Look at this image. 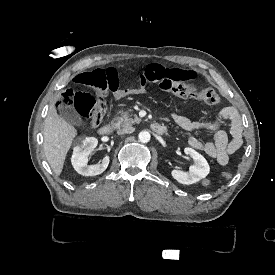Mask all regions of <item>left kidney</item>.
I'll use <instances>...</instances> for the list:
<instances>
[{
	"label": "left kidney",
	"mask_w": 275,
	"mask_h": 275,
	"mask_svg": "<svg viewBox=\"0 0 275 275\" xmlns=\"http://www.w3.org/2000/svg\"><path fill=\"white\" fill-rule=\"evenodd\" d=\"M184 152L193 158L194 165L189 167V172L172 170L171 174L179 183L190 185L205 178L210 172V167L206 159L194 149L186 147Z\"/></svg>",
	"instance_id": "5707ae66"
}]
</instances>
